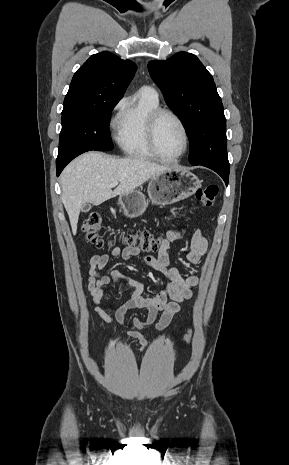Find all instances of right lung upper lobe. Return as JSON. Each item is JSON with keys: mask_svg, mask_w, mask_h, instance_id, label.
Segmentation results:
<instances>
[{"mask_svg": "<svg viewBox=\"0 0 289 465\" xmlns=\"http://www.w3.org/2000/svg\"><path fill=\"white\" fill-rule=\"evenodd\" d=\"M136 65L104 51L92 55L74 74L62 113L120 100L132 80Z\"/></svg>", "mask_w": 289, "mask_h": 465, "instance_id": "cb5924a9", "label": "right lung upper lobe"}]
</instances>
